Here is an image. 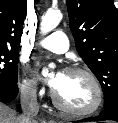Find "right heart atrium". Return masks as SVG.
<instances>
[{
	"label": "right heart atrium",
	"mask_w": 118,
	"mask_h": 123,
	"mask_svg": "<svg viewBox=\"0 0 118 123\" xmlns=\"http://www.w3.org/2000/svg\"><path fill=\"white\" fill-rule=\"evenodd\" d=\"M22 94L27 98H36L42 95V89L39 88L38 81L30 76H25L20 84Z\"/></svg>",
	"instance_id": "right-heart-atrium-1"
}]
</instances>
